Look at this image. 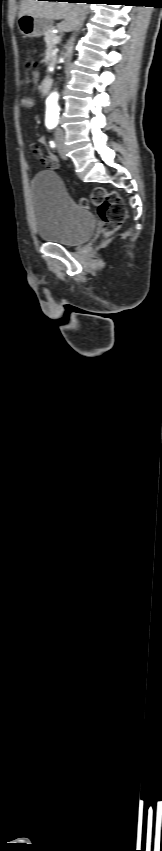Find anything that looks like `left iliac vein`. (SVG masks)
I'll use <instances>...</instances> for the list:
<instances>
[{"mask_svg": "<svg viewBox=\"0 0 162 851\" xmlns=\"http://www.w3.org/2000/svg\"><path fill=\"white\" fill-rule=\"evenodd\" d=\"M58 151H59L61 158L66 160L67 159L66 151H65V149H64V147L61 143L58 144Z\"/></svg>", "mask_w": 162, "mask_h": 851, "instance_id": "obj_1", "label": "left iliac vein"}]
</instances>
